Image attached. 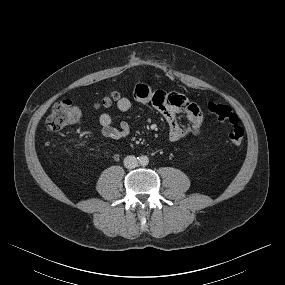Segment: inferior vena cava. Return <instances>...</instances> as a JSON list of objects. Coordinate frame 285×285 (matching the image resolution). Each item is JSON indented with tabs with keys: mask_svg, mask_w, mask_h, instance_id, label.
Returning a JSON list of instances; mask_svg holds the SVG:
<instances>
[{
	"mask_svg": "<svg viewBox=\"0 0 285 285\" xmlns=\"http://www.w3.org/2000/svg\"><path fill=\"white\" fill-rule=\"evenodd\" d=\"M124 166L128 169L136 168L138 166V160L135 156H127L124 159Z\"/></svg>",
	"mask_w": 285,
	"mask_h": 285,
	"instance_id": "1",
	"label": "inferior vena cava"
}]
</instances>
